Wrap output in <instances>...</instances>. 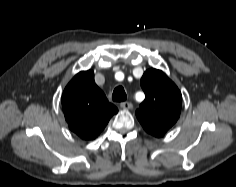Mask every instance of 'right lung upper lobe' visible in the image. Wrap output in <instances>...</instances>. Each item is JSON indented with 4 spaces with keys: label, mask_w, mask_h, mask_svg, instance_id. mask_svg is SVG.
I'll return each instance as SVG.
<instances>
[{
    "label": "right lung upper lobe",
    "mask_w": 236,
    "mask_h": 187,
    "mask_svg": "<svg viewBox=\"0 0 236 187\" xmlns=\"http://www.w3.org/2000/svg\"><path fill=\"white\" fill-rule=\"evenodd\" d=\"M62 109L70 130L84 140L95 139L118 112L95 84L92 70L79 72L68 83Z\"/></svg>",
    "instance_id": "1"
}]
</instances>
